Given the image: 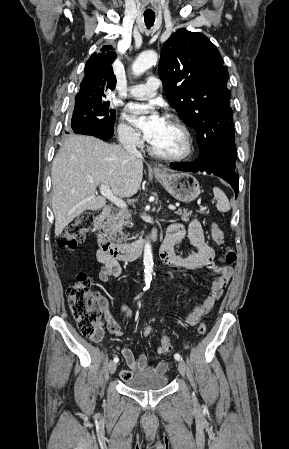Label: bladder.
<instances>
[{
	"mask_svg": "<svg viewBox=\"0 0 289 449\" xmlns=\"http://www.w3.org/2000/svg\"><path fill=\"white\" fill-rule=\"evenodd\" d=\"M168 381V376L165 374L139 373L126 380L124 384L133 390H152L164 388Z\"/></svg>",
	"mask_w": 289,
	"mask_h": 449,
	"instance_id": "obj_1",
	"label": "bladder"
}]
</instances>
